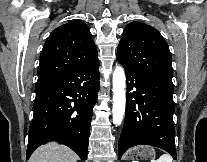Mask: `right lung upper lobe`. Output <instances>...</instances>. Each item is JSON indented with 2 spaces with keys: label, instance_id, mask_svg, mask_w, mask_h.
<instances>
[{
  "label": "right lung upper lobe",
  "instance_id": "obj_1",
  "mask_svg": "<svg viewBox=\"0 0 207 162\" xmlns=\"http://www.w3.org/2000/svg\"><path fill=\"white\" fill-rule=\"evenodd\" d=\"M96 61L97 49L87 25L81 21L63 24L45 42L40 55L38 81Z\"/></svg>",
  "mask_w": 207,
  "mask_h": 162
}]
</instances>
